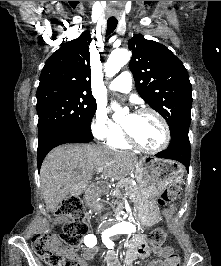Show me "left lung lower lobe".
Returning <instances> with one entry per match:
<instances>
[{
    "instance_id": "obj_1",
    "label": "left lung lower lobe",
    "mask_w": 221,
    "mask_h": 266,
    "mask_svg": "<svg viewBox=\"0 0 221 266\" xmlns=\"http://www.w3.org/2000/svg\"><path fill=\"white\" fill-rule=\"evenodd\" d=\"M159 158L175 160L185 165L189 169L190 164V142L188 133L176 135L166 150L156 154Z\"/></svg>"
}]
</instances>
